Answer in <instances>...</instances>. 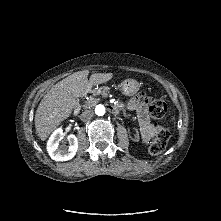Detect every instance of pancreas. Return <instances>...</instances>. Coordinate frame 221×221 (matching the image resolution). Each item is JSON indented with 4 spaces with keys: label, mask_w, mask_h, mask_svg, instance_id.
I'll return each instance as SVG.
<instances>
[{
    "label": "pancreas",
    "mask_w": 221,
    "mask_h": 221,
    "mask_svg": "<svg viewBox=\"0 0 221 221\" xmlns=\"http://www.w3.org/2000/svg\"><path fill=\"white\" fill-rule=\"evenodd\" d=\"M108 90H103V92L102 91H95V92H93V94H92V96L91 97H89L88 98V103H87V105H89V106H93L94 105V103H97V104H99V103H101V98H99L100 96H102V94L103 95H108ZM99 96V97H98Z\"/></svg>",
    "instance_id": "obj_1"
}]
</instances>
